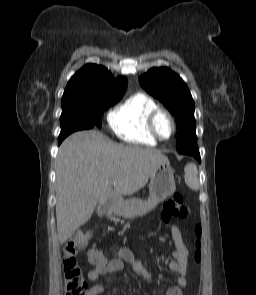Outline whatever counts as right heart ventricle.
I'll list each match as a JSON object with an SVG mask.
<instances>
[{"instance_id": "e07e8e85", "label": "right heart ventricle", "mask_w": 256, "mask_h": 295, "mask_svg": "<svg viewBox=\"0 0 256 295\" xmlns=\"http://www.w3.org/2000/svg\"><path fill=\"white\" fill-rule=\"evenodd\" d=\"M158 108L149 95L138 92L131 95L109 114L113 132L122 140L142 145H156L157 139L148 128V117Z\"/></svg>"}]
</instances>
